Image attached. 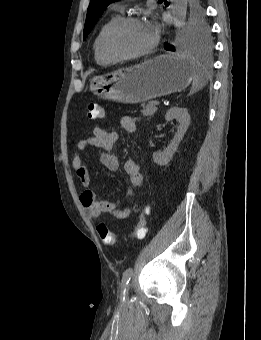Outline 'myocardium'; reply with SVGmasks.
Instances as JSON below:
<instances>
[{
	"label": "myocardium",
	"mask_w": 261,
	"mask_h": 340,
	"mask_svg": "<svg viewBox=\"0 0 261 340\" xmlns=\"http://www.w3.org/2000/svg\"><path fill=\"white\" fill-rule=\"evenodd\" d=\"M131 23H142V21L135 16H126V17H121L120 19H118L116 22H114L105 32L103 38H102V49L104 51V53L111 59L115 60V61H126V60H131V59H135V58H139L141 56H144L148 53H150L157 45L159 37L157 35V33L152 32V40L150 42V44L135 53L132 54H121L118 53L116 51H114L111 47V40L113 38V36L123 27H125L128 24Z\"/></svg>",
	"instance_id": "myocardium-1"
}]
</instances>
